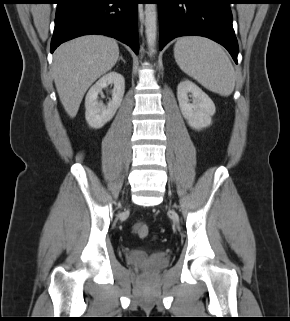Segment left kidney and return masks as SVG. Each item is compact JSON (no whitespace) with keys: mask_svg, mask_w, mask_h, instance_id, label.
Masks as SVG:
<instances>
[{"mask_svg":"<svg viewBox=\"0 0 290 321\" xmlns=\"http://www.w3.org/2000/svg\"><path fill=\"white\" fill-rule=\"evenodd\" d=\"M189 96L192 98V103ZM177 99L181 113L190 127L200 130L211 124L215 105L196 84L189 80L180 82L177 87Z\"/></svg>","mask_w":290,"mask_h":321,"instance_id":"obj_1","label":"left kidney"}]
</instances>
